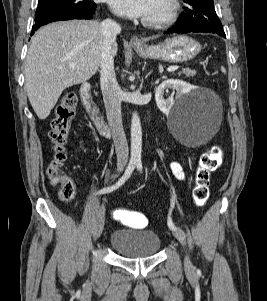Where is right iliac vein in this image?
<instances>
[{"mask_svg":"<svg viewBox=\"0 0 267 301\" xmlns=\"http://www.w3.org/2000/svg\"><path fill=\"white\" fill-rule=\"evenodd\" d=\"M123 170V167H119L117 170V175H119ZM104 222H105V213H104V207H102L99 210V213L97 215L96 221H95V227L93 232V240L97 241L99 237L102 234V231L104 229Z\"/></svg>","mask_w":267,"mask_h":301,"instance_id":"63e3f726","label":"right iliac vein"}]
</instances>
